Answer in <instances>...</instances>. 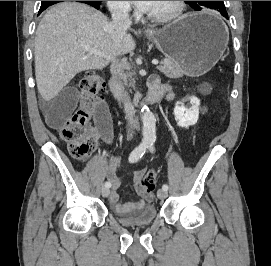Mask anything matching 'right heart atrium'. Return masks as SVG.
Wrapping results in <instances>:
<instances>
[{"label": "right heart atrium", "instance_id": "1", "mask_svg": "<svg viewBox=\"0 0 271 266\" xmlns=\"http://www.w3.org/2000/svg\"><path fill=\"white\" fill-rule=\"evenodd\" d=\"M110 11L120 17L128 18L133 14L129 1H107Z\"/></svg>", "mask_w": 271, "mask_h": 266}]
</instances>
